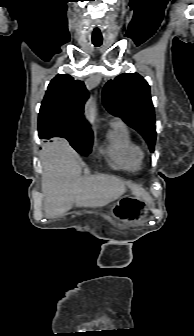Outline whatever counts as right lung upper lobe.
I'll return each mask as SVG.
<instances>
[{
    "label": "right lung upper lobe",
    "mask_w": 194,
    "mask_h": 336,
    "mask_svg": "<svg viewBox=\"0 0 194 336\" xmlns=\"http://www.w3.org/2000/svg\"><path fill=\"white\" fill-rule=\"evenodd\" d=\"M88 91L82 81L59 74L48 85L39 112V137L47 140L71 135L93 137L83 118Z\"/></svg>",
    "instance_id": "right-lung-upper-lobe-1"
}]
</instances>
